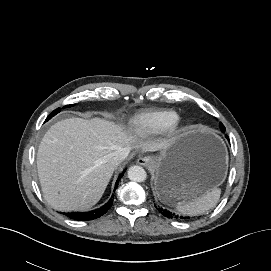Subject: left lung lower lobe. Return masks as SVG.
I'll return each instance as SVG.
<instances>
[{"label": "left lung lower lobe", "instance_id": "obj_1", "mask_svg": "<svg viewBox=\"0 0 271 271\" xmlns=\"http://www.w3.org/2000/svg\"><path fill=\"white\" fill-rule=\"evenodd\" d=\"M221 129H222V131H224V126L221 124ZM226 138L228 139V136L226 135ZM229 140V139H228ZM155 207L157 208V210L163 215V216H165V217H167V218H180V219H186V217H182V216H178V215H176L175 213H172V212H170L169 210H167V209H164V208H162V207H160V206H156L155 205ZM188 219H189V217H187Z\"/></svg>", "mask_w": 271, "mask_h": 271}]
</instances>
